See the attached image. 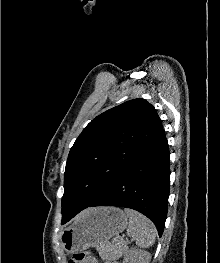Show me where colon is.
<instances>
[{
    "mask_svg": "<svg viewBox=\"0 0 220 263\" xmlns=\"http://www.w3.org/2000/svg\"><path fill=\"white\" fill-rule=\"evenodd\" d=\"M89 258V253L86 251H79L73 254L72 258L68 261V263H85V261Z\"/></svg>",
    "mask_w": 220,
    "mask_h": 263,
    "instance_id": "5ec220e1",
    "label": "colon"
}]
</instances>
